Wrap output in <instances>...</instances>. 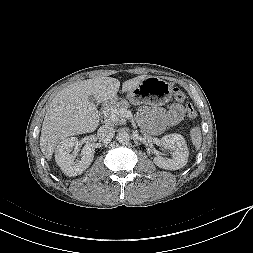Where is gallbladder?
<instances>
[{
    "mask_svg": "<svg viewBox=\"0 0 253 253\" xmlns=\"http://www.w3.org/2000/svg\"><path fill=\"white\" fill-rule=\"evenodd\" d=\"M89 100H90L91 103H93L95 105L98 103L97 100H96V98L93 95L89 96Z\"/></svg>",
    "mask_w": 253,
    "mask_h": 253,
    "instance_id": "gallbladder-1",
    "label": "gallbladder"
}]
</instances>
